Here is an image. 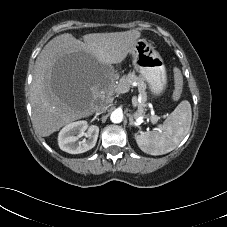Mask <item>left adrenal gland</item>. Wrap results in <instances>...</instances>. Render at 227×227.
<instances>
[{
	"instance_id": "a2214340",
	"label": "left adrenal gland",
	"mask_w": 227,
	"mask_h": 227,
	"mask_svg": "<svg viewBox=\"0 0 227 227\" xmlns=\"http://www.w3.org/2000/svg\"><path fill=\"white\" fill-rule=\"evenodd\" d=\"M128 117H129V125H130V127H133V126L138 127V125L136 124V122L133 119V115L132 114H128Z\"/></svg>"
}]
</instances>
